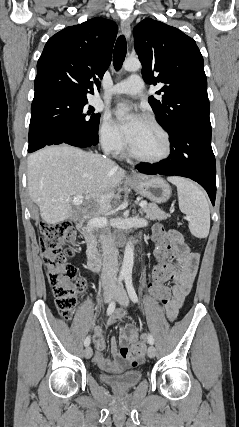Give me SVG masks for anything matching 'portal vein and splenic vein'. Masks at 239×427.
Wrapping results in <instances>:
<instances>
[{
	"label": "portal vein and splenic vein",
	"mask_w": 239,
	"mask_h": 427,
	"mask_svg": "<svg viewBox=\"0 0 239 427\" xmlns=\"http://www.w3.org/2000/svg\"><path fill=\"white\" fill-rule=\"evenodd\" d=\"M81 199H83L82 196H80V197H74L73 198V202L75 204H80L82 202ZM146 205H147L146 201H141L139 203V206L141 208L145 207ZM107 223H108L107 218H105V217H97V218H93V219L89 220L88 225H90L92 227H103V226H106Z\"/></svg>",
	"instance_id": "1"
}]
</instances>
